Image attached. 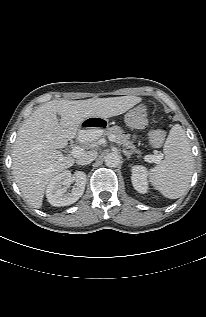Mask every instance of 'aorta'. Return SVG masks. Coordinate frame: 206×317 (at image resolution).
<instances>
[{
    "label": "aorta",
    "instance_id": "obj_1",
    "mask_svg": "<svg viewBox=\"0 0 206 317\" xmlns=\"http://www.w3.org/2000/svg\"><path fill=\"white\" fill-rule=\"evenodd\" d=\"M105 164L106 166L110 167V168H115L120 164L121 161V157L118 153L115 152H111L108 153L105 158Z\"/></svg>",
    "mask_w": 206,
    "mask_h": 317
}]
</instances>
